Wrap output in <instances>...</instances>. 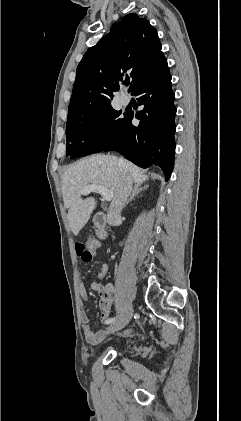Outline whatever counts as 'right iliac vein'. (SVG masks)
I'll list each match as a JSON object with an SVG mask.
<instances>
[{"mask_svg": "<svg viewBox=\"0 0 241 421\" xmlns=\"http://www.w3.org/2000/svg\"><path fill=\"white\" fill-rule=\"evenodd\" d=\"M133 315V306L129 305L125 311V313L123 314V316L116 322L112 323L108 328H107V333L111 334L114 333L122 328H124L131 320Z\"/></svg>", "mask_w": 241, "mask_h": 421, "instance_id": "1", "label": "right iliac vein"}]
</instances>
